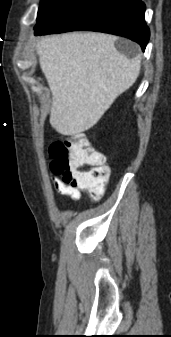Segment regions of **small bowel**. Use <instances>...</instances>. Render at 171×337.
<instances>
[{"instance_id": "obj_1", "label": "small bowel", "mask_w": 171, "mask_h": 337, "mask_svg": "<svg viewBox=\"0 0 171 337\" xmlns=\"http://www.w3.org/2000/svg\"><path fill=\"white\" fill-rule=\"evenodd\" d=\"M52 184L57 192L69 196L74 202H78L81 199L79 188L66 184L59 178H53Z\"/></svg>"}]
</instances>
